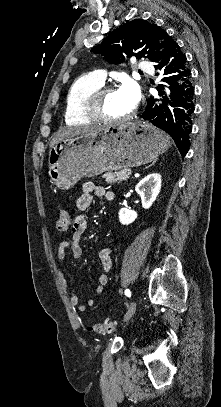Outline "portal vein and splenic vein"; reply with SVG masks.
I'll return each instance as SVG.
<instances>
[{"label":"portal vein and splenic vein","instance_id":"obj_1","mask_svg":"<svg viewBox=\"0 0 221 407\" xmlns=\"http://www.w3.org/2000/svg\"><path fill=\"white\" fill-rule=\"evenodd\" d=\"M131 174H132V172L129 171V172H128V175H131Z\"/></svg>","mask_w":221,"mask_h":407}]
</instances>
